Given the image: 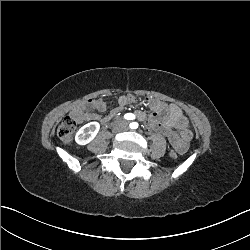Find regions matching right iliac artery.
<instances>
[{
    "label": "right iliac artery",
    "mask_w": 250,
    "mask_h": 250,
    "mask_svg": "<svg viewBox=\"0 0 250 250\" xmlns=\"http://www.w3.org/2000/svg\"><path fill=\"white\" fill-rule=\"evenodd\" d=\"M135 118V115L132 113L125 114V119L127 120H133Z\"/></svg>",
    "instance_id": "right-iliac-artery-1"
}]
</instances>
